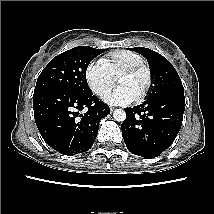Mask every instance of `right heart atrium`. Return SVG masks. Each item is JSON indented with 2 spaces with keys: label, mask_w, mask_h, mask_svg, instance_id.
<instances>
[{
  "label": "right heart atrium",
  "mask_w": 214,
  "mask_h": 214,
  "mask_svg": "<svg viewBox=\"0 0 214 214\" xmlns=\"http://www.w3.org/2000/svg\"><path fill=\"white\" fill-rule=\"evenodd\" d=\"M85 80L91 91L98 97H105L115 79L102 60L90 62L85 69Z\"/></svg>",
  "instance_id": "1"
}]
</instances>
